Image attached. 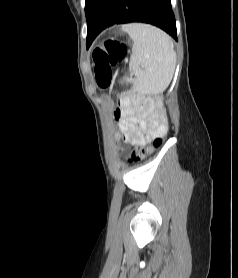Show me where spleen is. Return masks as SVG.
I'll return each instance as SVG.
<instances>
[{
  "label": "spleen",
  "mask_w": 238,
  "mask_h": 278,
  "mask_svg": "<svg viewBox=\"0 0 238 278\" xmlns=\"http://www.w3.org/2000/svg\"><path fill=\"white\" fill-rule=\"evenodd\" d=\"M122 30L133 40L129 71L134 84L152 93L163 92L170 84L176 66L171 37L157 27L131 23Z\"/></svg>",
  "instance_id": "1"
}]
</instances>
